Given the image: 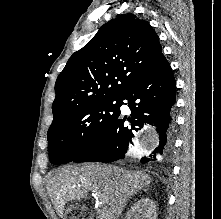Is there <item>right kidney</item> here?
<instances>
[{
  "mask_svg": "<svg viewBox=\"0 0 221 219\" xmlns=\"http://www.w3.org/2000/svg\"><path fill=\"white\" fill-rule=\"evenodd\" d=\"M125 219H157L155 202L149 198L138 200L127 212Z\"/></svg>",
  "mask_w": 221,
  "mask_h": 219,
  "instance_id": "1",
  "label": "right kidney"
}]
</instances>
